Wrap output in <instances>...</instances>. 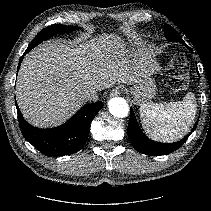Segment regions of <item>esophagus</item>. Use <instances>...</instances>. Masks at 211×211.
Segmentation results:
<instances>
[{
  "mask_svg": "<svg viewBox=\"0 0 211 211\" xmlns=\"http://www.w3.org/2000/svg\"><path fill=\"white\" fill-rule=\"evenodd\" d=\"M122 92V89L120 86L115 87L112 91H111V96H117L120 95Z\"/></svg>",
  "mask_w": 211,
  "mask_h": 211,
  "instance_id": "obj_1",
  "label": "esophagus"
}]
</instances>
